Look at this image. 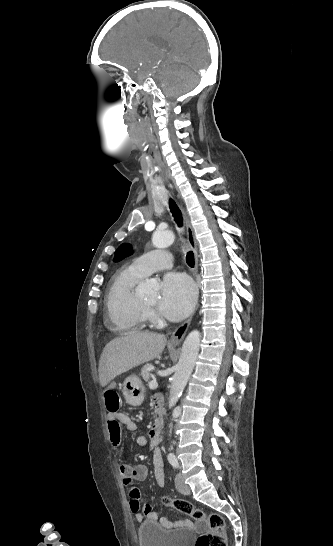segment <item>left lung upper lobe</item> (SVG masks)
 <instances>
[{
  "mask_svg": "<svg viewBox=\"0 0 333 546\" xmlns=\"http://www.w3.org/2000/svg\"><path fill=\"white\" fill-rule=\"evenodd\" d=\"M132 252H133L132 251V246L130 244L123 243L115 251L114 260L119 261V260L123 259L124 257L131 255Z\"/></svg>",
  "mask_w": 333,
  "mask_h": 546,
  "instance_id": "left-lung-upper-lobe-1",
  "label": "left lung upper lobe"
}]
</instances>
